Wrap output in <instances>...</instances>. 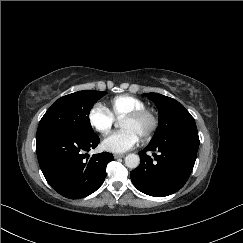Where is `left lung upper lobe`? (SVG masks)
I'll list each match as a JSON object with an SVG mask.
<instances>
[{"mask_svg":"<svg viewBox=\"0 0 243 243\" xmlns=\"http://www.w3.org/2000/svg\"><path fill=\"white\" fill-rule=\"evenodd\" d=\"M143 95L150 98L155 103L159 112V125L151 141L165 138L183 127L195 124L194 118L184 106L175 99L158 93Z\"/></svg>","mask_w":243,"mask_h":243,"instance_id":"1","label":"left lung upper lobe"}]
</instances>
